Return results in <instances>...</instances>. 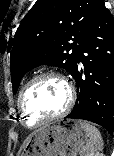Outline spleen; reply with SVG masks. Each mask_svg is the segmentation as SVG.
<instances>
[{
  "label": "spleen",
  "mask_w": 114,
  "mask_h": 156,
  "mask_svg": "<svg viewBox=\"0 0 114 156\" xmlns=\"http://www.w3.org/2000/svg\"><path fill=\"white\" fill-rule=\"evenodd\" d=\"M81 125L88 136L86 145L81 150V156L83 154L97 153L103 149V139L99 130L86 121H82Z\"/></svg>",
  "instance_id": "spleen-1"
}]
</instances>
